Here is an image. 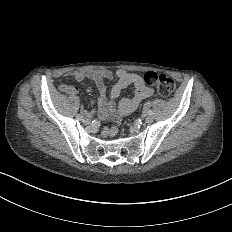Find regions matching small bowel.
<instances>
[{"mask_svg":"<svg viewBox=\"0 0 232 232\" xmlns=\"http://www.w3.org/2000/svg\"><path fill=\"white\" fill-rule=\"evenodd\" d=\"M116 75L119 81L115 83L111 90L110 98H107V85L106 80L112 79L113 73L110 69H91V70H66L63 73L65 77H71L76 82H83L86 79H91L96 82L99 91V103L101 104L100 115L103 119H108L111 113L117 109L115 119H120L121 115H126L134 111L141 100L147 97H154L156 95L155 90L146 86L144 78L135 72H130L125 69H118ZM133 85L136 88V94L132 98H123L116 105L115 100L118 97L120 91ZM61 89L68 93H76L78 88L76 85L64 83L61 85ZM116 127H105L102 130L101 135L103 137L114 136L117 134Z\"/></svg>","mask_w":232,"mask_h":232,"instance_id":"obj_1","label":"small bowel"}]
</instances>
